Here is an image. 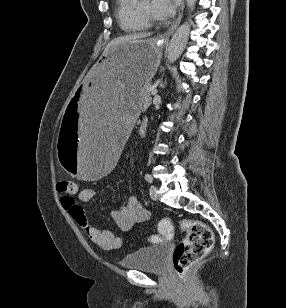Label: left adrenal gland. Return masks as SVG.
I'll return each mask as SVG.
<instances>
[{"instance_id":"a2214340","label":"left adrenal gland","mask_w":286,"mask_h":308,"mask_svg":"<svg viewBox=\"0 0 286 308\" xmlns=\"http://www.w3.org/2000/svg\"><path fill=\"white\" fill-rule=\"evenodd\" d=\"M165 85H166V82H165V84H162V88H165Z\"/></svg>"}]
</instances>
